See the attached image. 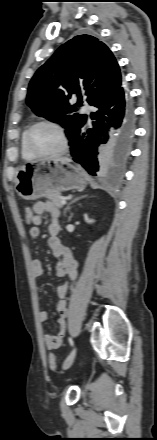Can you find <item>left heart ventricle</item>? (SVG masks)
<instances>
[{
  "label": "left heart ventricle",
  "instance_id": "b2bd125f",
  "mask_svg": "<svg viewBox=\"0 0 157 440\" xmlns=\"http://www.w3.org/2000/svg\"><path fill=\"white\" fill-rule=\"evenodd\" d=\"M31 143L33 148L40 153H53L60 149L62 141L55 128L41 125L33 131Z\"/></svg>",
  "mask_w": 157,
  "mask_h": 440
}]
</instances>
